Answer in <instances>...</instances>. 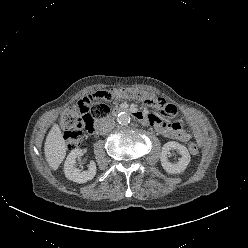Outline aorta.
Wrapping results in <instances>:
<instances>
[{
	"label": "aorta",
	"instance_id": "762f6f07",
	"mask_svg": "<svg viewBox=\"0 0 248 248\" xmlns=\"http://www.w3.org/2000/svg\"><path fill=\"white\" fill-rule=\"evenodd\" d=\"M130 115L126 112H121L117 116V122L120 125H128L130 123Z\"/></svg>",
	"mask_w": 248,
	"mask_h": 248
}]
</instances>
